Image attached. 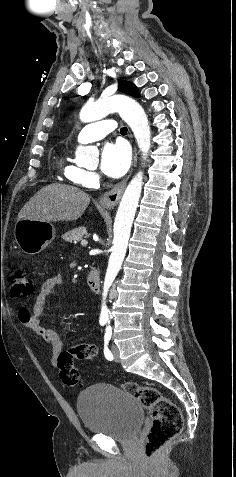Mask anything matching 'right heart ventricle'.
<instances>
[{
	"mask_svg": "<svg viewBox=\"0 0 236 477\" xmlns=\"http://www.w3.org/2000/svg\"><path fill=\"white\" fill-rule=\"evenodd\" d=\"M61 168L64 176L71 181L75 186H85V180L88 171L80 166L68 162L65 159L61 160Z\"/></svg>",
	"mask_w": 236,
	"mask_h": 477,
	"instance_id": "1",
	"label": "right heart ventricle"
}]
</instances>
